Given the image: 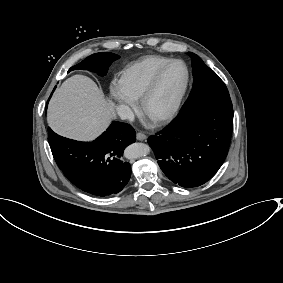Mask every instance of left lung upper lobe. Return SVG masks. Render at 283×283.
<instances>
[{"mask_svg": "<svg viewBox=\"0 0 283 283\" xmlns=\"http://www.w3.org/2000/svg\"><path fill=\"white\" fill-rule=\"evenodd\" d=\"M192 59L193 88L180 112H185L201 102L214 98H230L224 82L207 67L194 53L188 52Z\"/></svg>", "mask_w": 283, "mask_h": 283, "instance_id": "obj_1", "label": "left lung upper lobe"}]
</instances>
